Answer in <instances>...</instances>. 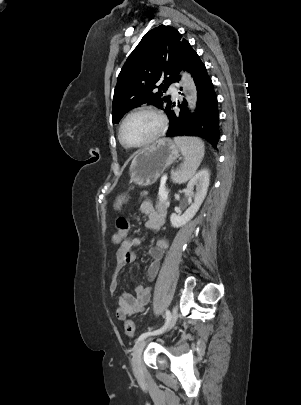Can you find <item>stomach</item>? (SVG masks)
<instances>
[{"label": "stomach", "instance_id": "obj_1", "mask_svg": "<svg viewBox=\"0 0 301 405\" xmlns=\"http://www.w3.org/2000/svg\"><path fill=\"white\" fill-rule=\"evenodd\" d=\"M179 154L178 146L168 138H162L136 153L130 165V183L150 186L172 164Z\"/></svg>", "mask_w": 301, "mask_h": 405}]
</instances>
